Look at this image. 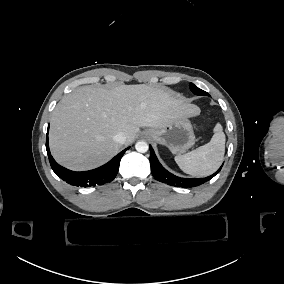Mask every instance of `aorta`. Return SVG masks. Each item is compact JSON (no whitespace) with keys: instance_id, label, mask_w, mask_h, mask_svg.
Instances as JSON below:
<instances>
[{"instance_id":"762f6f07","label":"aorta","mask_w":284,"mask_h":284,"mask_svg":"<svg viewBox=\"0 0 284 284\" xmlns=\"http://www.w3.org/2000/svg\"><path fill=\"white\" fill-rule=\"evenodd\" d=\"M135 149L140 152V153H145L148 151L149 149V146L148 144L145 142V141H138L136 144H135Z\"/></svg>"}]
</instances>
